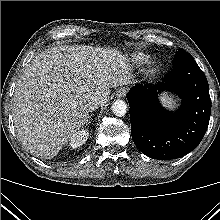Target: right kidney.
Segmentation results:
<instances>
[{"mask_svg": "<svg viewBox=\"0 0 220 220\" xmlns=\"http://www.w3.org/2000/svg\"><path fill=\"white\" fill-rule=\"evenodd\" d=\"M89 132L87 130H81L73 134L69 141V146L72 148H77L82 146L88 139Z\"/></svg>", "mask_w": 220, "mask_h": 220, "instance_id": "right-kidney-1", "label": "right kidney"}]
</instances>
